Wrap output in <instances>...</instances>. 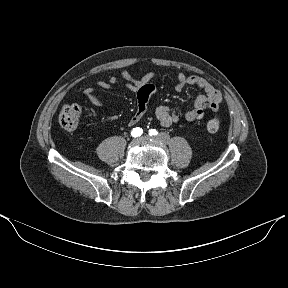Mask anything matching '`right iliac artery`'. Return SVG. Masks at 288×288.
I'll return each instance as SVG.
<instances>
[{"instance_id":"right-iliac-artery-1","label":"right iliac artery","mask_w":288,"mask_h":288,"mask_svg":"<svg viewBox=\"0 0 288 288\" xmlns=\"http://www.w3.org/2000/svg\"><path fill=\"white\" fill-rule=\"evenodd\" d=\"M142 133H143V130L141 128H139V127L133 128V130L131 131V135L133 137L141 136Z\"/></svg>"}]
</instances>
